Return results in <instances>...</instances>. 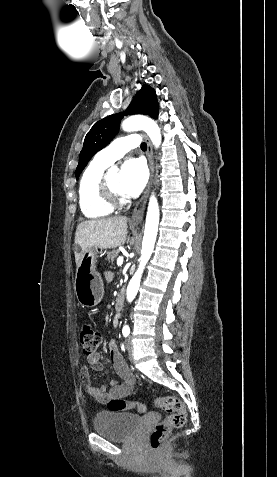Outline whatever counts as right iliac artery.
I'll return each mask as SVG.
<instances>
[{
	"mask_svg": "<svg viewBox=\"0 0 277 477\" xmlns=\"http://www.w3.org/2000/svg\"><path fill=\"white\" fill-rule=\"evenodd\" d=\"M122 350H124V346L122 345Z\"/></svg>",
	"mask_w": 277,
	"mask_h": 477,
	"instance_id": "82829eb1",
	"label": "right iliac artery"
}]
</instances>
